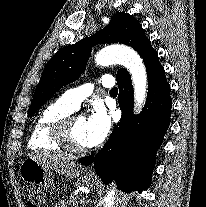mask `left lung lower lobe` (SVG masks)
Instances as JSON below:
<instances>
[{
	"mask_svg": "<svg viewBox=\"0 0 206 207\" xmlns=\"http://www.w3.org/2000/svg\"><path fill=\"white\" fill-rule=\"evenodd\" d=\"M148 74V95L143 111L134 116L133 87L129 73L117 79L118 102L122 118L105 144L93 156L80 163H94L101 180H116L118 189L131 192L146 190L151 181L155 157L170 124V86L157 52L150 46L141 56Z\"/></svg>",
	"mask_w": 206,
	"mask_h": 207,
	"instance_id": "1",
	"label": "left lung lower lobe"
}]
</instances>
